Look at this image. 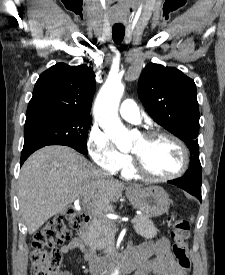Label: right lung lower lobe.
Masks as SVG:
<instances>
[{"mask_svg": "<svg viewBox=\"0 0 225 275\" xmlns=\"http://www.w3.org/2000/svg\"><path fill=\"white\" fill-rule=\"evenodd\" d=\"M41 147H43V146L39 145V146L23 148L22 154H21V165L29 157V155H31L34 151H36L37 149H39Z\"/></svg>", "mask_w": 225, "mask_h": 275, "instance_id": "right-lung-lower-lobe-1", "label": "right lung lower lobe"}]
</instances>
